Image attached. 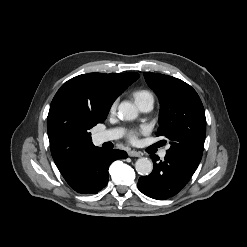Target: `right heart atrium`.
Listing matches in <instances>:
<instances>
[{"label":"right heart atrium","mask_w":247,"mask_h":247,"mask_svg":"<svg viewBox=\"0 0 247 247\" xmlns=\"http://www.w3.org/2000/svg\"><path fill=\"white\" fill-rule=\"evenodd\" d=\"M116 106H117V102L115 101V102H113V103L111 104V106H110V112H114L115 109H116Z\"/></svg>","instance_id":"d8ad5b80"}]
</instances>
